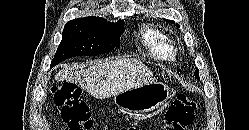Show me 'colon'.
<instances>
[{
	"label": "colon",
	"instance_id": "obj_1",
	"mask_svg": "<svg viewBox=\"0 0 249 130\" xmlns=\"http://www.w3.org/2000/svg\"><path fill=\"white\" fill-rule=\"evenodd\" d=\"M53 101L60 108L61 117L70 130H96L98 125L93 119L87 103L82 99L81 89L73 83H63L52 87ZM196 102L185 94H179L168 108L163 125L157 130H184L192 124ZM120 130H140L123 127Z\"/></svg>",
	"mask_w": 249,
	"mask_h": 130
}]
</instances>
